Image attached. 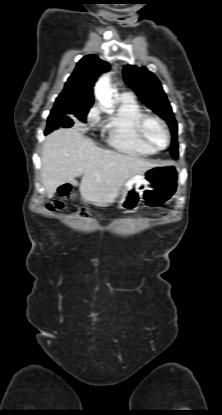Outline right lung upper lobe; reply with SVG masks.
Here are the masks:
<instances>
[{"instance_id": "1", "label": "right lung upper lobe", "mask_w": 222, "mask_h": 415, "mask_svg": "<svg viewBox=\"0 0 222 415\" xmlns=\"http://www.w3.org/2000/svg\"><path fill=\"white\" fill-rule=\"evenodd\" d=\"M109 69V63L102 61L96 55L83 57L68 78L64 90L57 97L53 109L63 106L92 105L94 84L99 75Z\"/></svg>"}]
</instances>
